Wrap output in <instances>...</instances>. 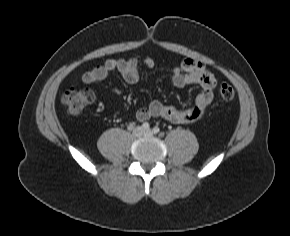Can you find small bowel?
<instances>
[{
  "label": "small bowel",
  "mask_w": 290,
  "mask_h": 236,
  "mask_svg": "<svg viewBox=\"0 0 290 236\" xmlns=\"http://www.w3.org/2000/svg\"><path fill=\"white\" fill-rule=\"evenodd\" d=\"M144 67H154V60L146 58L143 60ZM117 71L129 84H135L141 80L139 73V61L135 57L128 59H108L102 65L85 72L82 75V82L92 84L104 80L109 73ZM171 83L175 87H184L195 84L201 87L200 93L196 96L194 104L187 108H177L164 104L160 101H153L148 107L140 108L135 116L139 121H146L150 118H163L177 124H190L197 122L212 102L215 77L210 69L203 63L186 58L178 66L171 69ZM121 94L119 87L112 89V95L118 97Z\"/></svg>",
  "instance_id": "obj_1"
}]
</instances>
